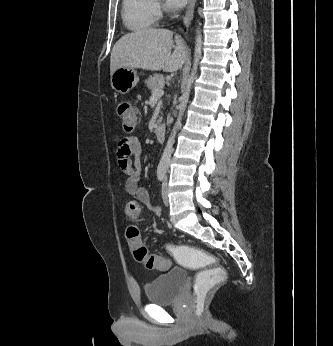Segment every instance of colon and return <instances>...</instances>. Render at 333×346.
Instances as JSON below:
<instances>
[{
  "label": "colon",
  "instance_id": "5ec220e1",
  "mask_svg": "<svg viewBox=\"0 0 333 346\" xmlns=\"http://www.w3.org/2000/svg\"><path fill=\"white\" fill-rule=\"evenodd\" d=\"M118 116L123 129L130 133L137 125L138 116L134 106L127 101L119 103L117 107ZM138 204L130 202L126 208V217L135 221L138 217ZM127 238L134 259L143 264L149 270L166 271L171 267V260L175 261L177 268H190V271H202L195 277L193 283L194 309L199 311L200 307L206 306L203 296L213 293V288H224V280H228V273L222 264H215L216 259L203 251V249L192 248L191 244H172L167 250L168 258H164L149 252L148 248L139 238V230L136 226L127 229ZM209 265H213L209 269Z\"/></svg>",
  "mask_w": 333,
  "mask_h": 346
}]
</instances>
